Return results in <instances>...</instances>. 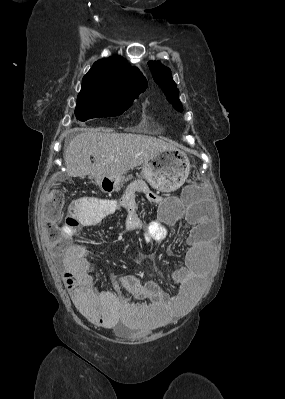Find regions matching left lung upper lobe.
I'll list each match as a JSON object with an SVG mask.
<instances>
[{
	"mask_svg": "<svg viewBox=\"0 0 285 399\" xmlns=\"http://www.w3.org/2000/svg\"><path fill=\"white\" fill-rule=\"evenodd\" d=\"M148 65L154 81L161 87L167 100L173 104L176 110L182 111V104L179 101V90L176 83L172 80L170 69L157 61H149Z\"/></svg>",
	"mask_w": 285,
	"mask_h": 399,
	"instance_id": "obj_1",
	"label": "left lung upper lobe"
}]
</instances>
